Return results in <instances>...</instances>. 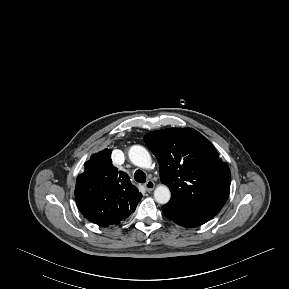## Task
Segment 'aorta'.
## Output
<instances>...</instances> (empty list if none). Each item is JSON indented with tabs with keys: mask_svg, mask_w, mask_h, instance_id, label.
I'll return each mask as SVG.
<instances>
[{
	"mask_svg": "<svg viewBox=\"0 0 289 289\" xmlns=\"http://www.w3.org/2000/svg\"><path fill=\"white\" fill-rule=\"evenodd\" d=\"M131 162L141 168H149L152 164V159L149 152L140 145H133L128 152ZM171 193L166 185H159L154 190V198L159 204H166L169 202Z\"/></svg>",
	"mask_w": 289,
	"mask_h": 289,
	"instance_id": "762f6f07",
	"label": "aorta"
}]
</instances>
